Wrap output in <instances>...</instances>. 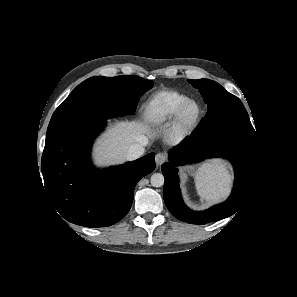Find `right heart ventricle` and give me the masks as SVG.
I'll list each match as a JSON object with an SVG mask.
<instances>
[{
  "label": "right heart ventricle",
  "mask_w": 297,
  "mask_h": 297,
  "mask_svg": "<svg viewBox=\"0 0 297 297\" xmlns=\"http://www.w3.org/2000/svg\"><path fill=\"white\" fill-rule=\"evenodd\" d=\"M188 96L173 90L158 92L145 106L146 117L155 123H163L174 118L179 108L187 102Z\"/></svg>",
  "instance_id": "right-heart-ventricle-1"
}]
</instances>
